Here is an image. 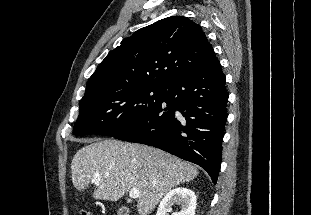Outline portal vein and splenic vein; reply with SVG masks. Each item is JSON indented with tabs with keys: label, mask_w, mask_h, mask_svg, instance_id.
Masks as SVG:
<instances>
[{
	"label": "portal vein and splenic vein",
	"mask_w": 311,
	"mask_h": 215,
	"mask_svg": "<svg viewBox=\"0 0 311 215\" xmlns=\"http://www.w3.org/2000/svg\"><path fill=\"white\" fill-rule=\"evenodd\" d=\"M100 178H101V174L96 173V174L94 175L93 181H99ZM139 196H140L139 190L133 188V189H131V190L129 191V197H130V198L135 199V198H138Z\"/></svg>",
	"instance_id": "1"
}]
</instances>
